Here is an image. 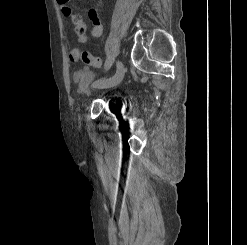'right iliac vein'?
Returning <instances> with one entry per match:
<instances>
[{"label":"right iliac vein","instance_id":"obj_1","mask_svg":"<svg viewBox=\"0 0 247 245\" xmlns=\"http://www.w3.org/2000/svg\"><path fill=\"white\" fill-rule=\"evenodd\" d=\"M124 74H125V68H124L123 64L121 62L117 61L116 74L111 78L103 79V80L96 82V84H97L96 87H98V88L114 87L122 81Z\"/></svg>","mask_w":247,"mask_h":245}]
</instances>
